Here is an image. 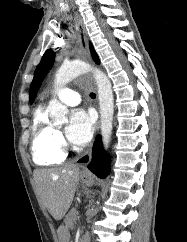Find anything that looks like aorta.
<instances>
[{"label": "aorta", "instance_id": "aorta-1", "mask_svg": "<svg viewBox=\"0 0 187 242\" xmlns=\"http://www.w3.org/2000/svg\"><path fill=\"white\" fill-rule=\"evenodd\" d=\"M92 72L98 87V98L101 114V136L105 149L111 142L113 129L114 98L111 82L107 75L97 68L91 67L83 61H73L63 64L55 75V87L59 88L81 74ZM50 117L54 120L65 119L68 109L57 99H52L49 103Z\"/></svg>", "mask_w": 187, "mask_h": 242}]
</instances>
